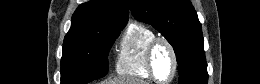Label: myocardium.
<instances>
[{"mask_svg":"<svg viewBox=\"0 0 260 84\" xmlns=\"http://www.w3.org/2000/svg\"><path fill=\"white\" fill-rule=\"evenodd\" d=\"M161 44L165 45L169 49L171 56H172V61H173L172 73L167 80L158 79V77L155 73V69H154V63H153L154 55H155L157 48ZM146 67H147V71H148L151 79L157 83H163V84L170 83L175 78V76L178 72V67H179L178 55H177L174 45L166 37L156 36L148 44L147 55H146Z\"/></svg>","mask_w":260,"mask_h":84,"instance_id":"f54148a6","label":"myocardium"}]
</instances>
